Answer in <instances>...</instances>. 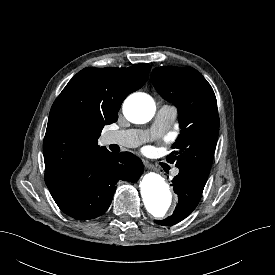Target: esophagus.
<instances>
[{
    "instance_id": "1",
    "label": "esophagus",
    "mask_w": 275,
    "mask_h": 275,
    "mask_svg": "<svg viewBox=\"0 0 275 275\" xmlns=\"http://www.w3.org/2000/svg\"><path fill=\"white\" fill-rule=\"evenodd\" d=\"M145 166H146V168H148V169H151V170L154 169V167H153L152 165L148 164V163H146Z\"/></svg>"
}]
</instances>
